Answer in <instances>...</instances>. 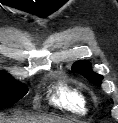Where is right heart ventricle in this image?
<instances>
[{
	"mask_svg": "<svg viewBox=\"0 0 118 123\" xmlns=\"http://www.w3.org/2000/svg\"><path fill=\"white\" fill-rule=\"evenodd\" d=\"M49 102L57 108L81 116L88 114L90 110L89 99L83 88L65 79L52 86Z\"/></svg>",
	"mask_w": 118,
	"mask_h": 123,
	"instance_id": "right-heart-ventricle-1",
	"label": "right heart ventricle"
}]
</instances>
